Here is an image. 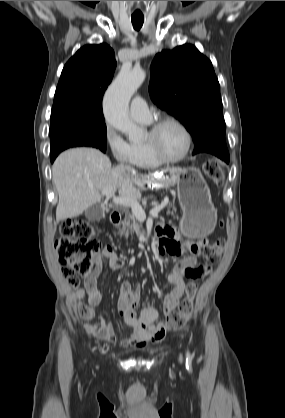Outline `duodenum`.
I'll use <instances>...</instances> for the list:
<instances>
[{
  "instance_id": "1",
  "label": "duodenum",
  "mask_w": 285,
  "mask_h": 418,
  "mask_svg": "<svg viewBox=\"0 0 285 418\" xmlns=\"http://www.w3.org/2000/svg\"><path fill=\"white\" fill-rule=\"evenodd\" d=\"M110 220H111L112 224L119 225L121 223V220H122V216H121L120 211H118V210L112 211L111 214H110Z\"/></svg>"
}]
</instances>
